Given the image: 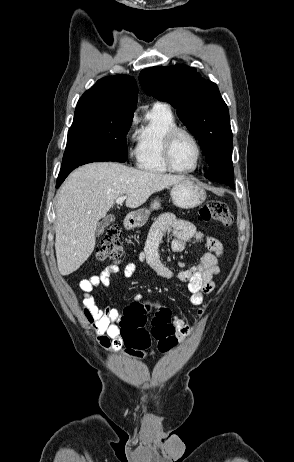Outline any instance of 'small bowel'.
I'll return each mask as SVG.
<instances>
[{"mask_svg": "<svg viewBox=\"0 0 294 462\" xmlns=\"http://www.w3.org/2000/svg\"><path fill=\"white\" fill-rule=\"evenodd\" d=\"M165 233H170L173 236L171 242L173 252H182L186 248V244L192 239L203 241L207 251L202 255L199 263L174 273L162 262L160 256V246ZM222 253L223 246L218 239L197 231L195 225L189 221L165 213L152 226L146 247L139 254L138 261L146 263L161 278L167 280L175 278L185 283L190 293V302L195 306H201L198 315L202 316L205 311L204 295L212 292L215 287L213 279L219 274L218 259ZM136 269L135 263H128L123 270L124 276L133 277ZM118 272L119 267L117 265H109L99 274L80 281L84 313L89 323L92 324L97 334L98 344L102 348L113 352L122 351L127 357L139 359L143 354L128 347L123 340L119 326L122 317L120 311L113 306L99 307L93 295V291L97 287H108L111 276ZM171 319L177 339L184 340L191 335L194 330L193 325L186 323L176 314Z\"/></svg>", "mask_w": 294, "mask_h": 462, "instance_id": "c3829d8e", "label": "small bowel"}]
</instances>
